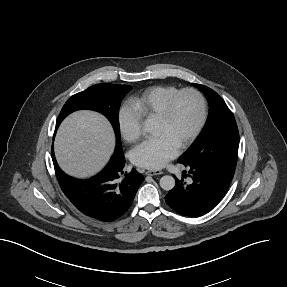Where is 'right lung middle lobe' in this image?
Wrapping results in <instances>:
<instances>
[{
    "instance_id": "obj_1",
    "label": "right lung middle lobe",
    "mask_w": 287,
    "mask_h": 287,
    "mask_svg": "<svg viewBox=\"0 0 287 287\" xmlns=\"http://www.w3.org/2000/svg\"><path fill=\"white\" fill-rule=\"evenodd\" d=\"M129 85H115L102 83L70 97L63 106L56 123L62 120L71 112L79 109H89L97 111L111 122L116 135L115 151H122L120 139V126L118 121V111L121 100L131 90Z\"/></svg>"
}]
</instances>
